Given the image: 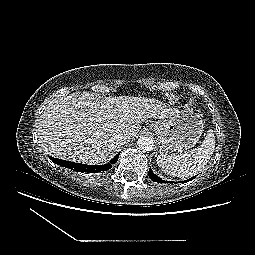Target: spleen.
<instances>
[{
    "label": "spleen",
    "instance_id": "spleen-1",
    "mask_svg": "<svg viewBox=\"0 0 255 255\" xmlns=\"http://www.w3.org/2000/svg\"><path fill=\"white\" fill-rule=\"evenodd\" d=\"M215 149L213 130H208L203 143L189 152L180 154L161 153L157 158L158 166L167 174L178 177H189L197 174L210 160Z\"/></svg>",
    "mask_w": 255,
    "mask_h": 255
}]
</instances>
